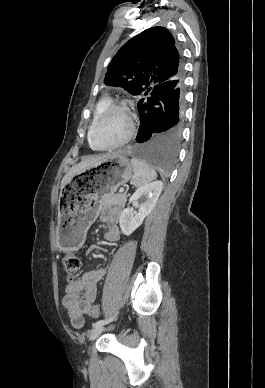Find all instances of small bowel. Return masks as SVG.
I'll list each match as a JSON object with an SVG mask.
<instances>
[{
  "instance_id": "obj_1",
  "label": "small bowel",
  "mask_w": 265,
  "mask_h": 388,
  "mask_svg": "<svg viewBox=\"0 0 265 388\" xmlns=\"http://www.w3.org/2000/svg\"><path fill=\"white\" fill-rule=\"evenodd\" d=\"M120 216L121 209L119 207H104L100 211V220L109 225L105 233V239L108 242H116L121 237L118 228ZM95 248L97 247L91 246L89 251ZM104 274V269L99 268L85 272L80 278L67 284L62 304L73 327L81 328L84 325L85 316L89 313L97 297V283Z\"/></svg>"
}]
</instances>
